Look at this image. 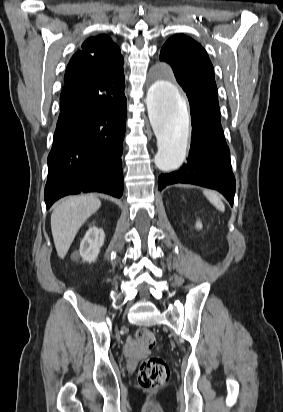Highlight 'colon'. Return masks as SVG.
<instances>
[{
  "label": "colon",
  "mask_w": 283,
  "mask_h": 412,
  "mask_svg": "<svg viewBox=\"0 0 283 412\" xmlns=\"http://www.w3.org/2000/svg\"><path fill=\"white\" fill-rule=\"evenodd\" d=\"M137 343L143 347L154 349L157 340L154 333L146 328L136 332ZM170 376V369L165 360L160 357H148L142 361L138 371L139 384L147 389L158 388L165 384Z\"/></svg>",
  "instance_id": "obj_1"
}]
</instances>
